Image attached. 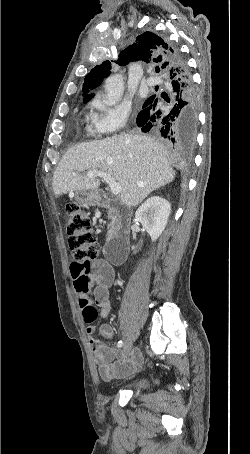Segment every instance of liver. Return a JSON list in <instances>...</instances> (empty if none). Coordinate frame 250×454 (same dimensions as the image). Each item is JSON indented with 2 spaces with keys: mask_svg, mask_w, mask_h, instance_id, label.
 <instances>
[{
  "mask_svg": "<svg viewBox=\"0 0 250 454\" xmlns=\"http://www.w3.org/2000/svg\"><path fill=\"white\" fill-rule=\"evenodd\" d=\"M91 170L114 178L121 186L120 200L127 206H137L175 178L164 145L145 135L124 133L69 148L53 175L54 194L97 190L100 181L87 177Z\"/></svg>",
  "mask_w": 250,
  "mask_h": 454,
  "instance_id": "6515ba94",
  "label": "liver"
}]
</instances>
